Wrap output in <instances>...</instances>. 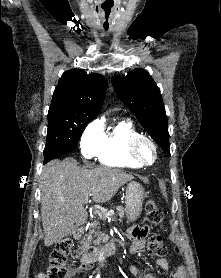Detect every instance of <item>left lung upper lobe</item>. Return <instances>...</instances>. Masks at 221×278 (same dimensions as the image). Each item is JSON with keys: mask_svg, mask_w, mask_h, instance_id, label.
Returning <instances> with one entry per match:
<instances>
[{"mask_svg": "<svg viewBox=\"0 0 221 278\" xmlns=\"http://www.w3.org/2000/svg\"><path fill=\"white\" fill-rule=\"evenodd\" d=\"M112 84L144 129L170 154L167 116L160 89L150 74L143 69H134L127 76H114Z\"/></svg>", "mask_w": 221, "mask_h": 278, "instance_id": "5c2ea615", "label": "left lung upper lobe"}]
</instances>
